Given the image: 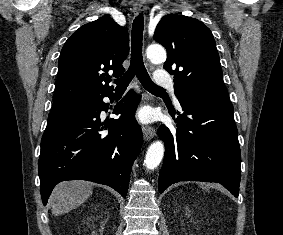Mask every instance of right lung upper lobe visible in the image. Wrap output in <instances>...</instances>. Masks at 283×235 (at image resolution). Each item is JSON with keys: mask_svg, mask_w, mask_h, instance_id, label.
I'll use <instances>...</instances> for the list:
<instances>
[{"mask_svg": "<svg viewBox=\"0 0 283 235\" xmlns=\"http://www.w3.org/2000/svg\"><path fill=\"white\" fill-rule=\"evenodd\" d=\"M129 53V35L110 16L87 23L65 42L53 103L91 99L111 93L108 71L119 77Z\"/></svg>", "mask_w": 283, "mask_h": 235, "instance_id": "obj_1", "label": "right lung upper lobe"}]
</instances>
